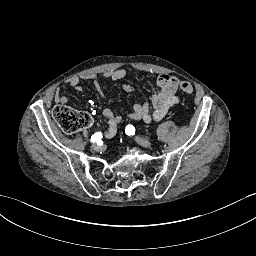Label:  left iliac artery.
<instances>
[{
    "label": "left iliac artery",
    "mask_w": 256,
    "mask_h": 256,
    "mask_svg": "<svg viewBox=\"0 0 256 256\" xmlns=\"http://www.w3.org/2000/svg\"><path fill=\"white\" fill-rule=\"evenodd\" d=\"M125 132L127 135H134L135 134V127L133 125H127L125 128Z\"/></svg>",
    "instance_id": "44dca946"
}]
</instances>
